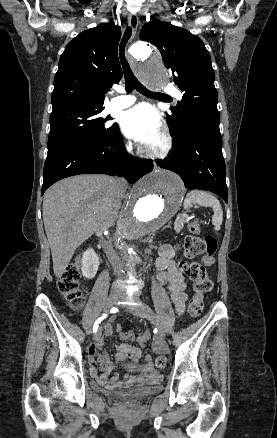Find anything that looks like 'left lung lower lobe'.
<instances>
[{
    "mask_svg": "<svg viewBox=\"0 0 277 438\" xmlns=\"http://www.w3.org/2000/svg\"><path fill=\"white\" fill-rule=\"evenodd\" d=\"M219 111L207 106L191 116L172 156L156 160L182 178L185 187L216 193L227 202L226 168L219 130Z\"/></svg>",
    "mask_w": 277,
    "mask_h": 438,
    "instance_id": "left-lung-lower-lobe-1",
    "label": "left lung lower lobe"
}]
</instances>
